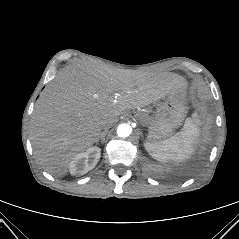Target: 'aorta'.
Segmentation results:
<instances>
[{
  "mask_svg": "<svg viewBox=\"0 0 239 239\" xmlns=\"http://www.w3.org/2000/svg\"><path fill=\"white\" fill-rule=\"evenodd\" d=\"M132 133V128L129 124H120L117 127V135L121 138H126Z\"/></svg>",
  "mask_w": 239,
  "mask_h": 239,
  "instance_id": "762f6f07",
  "label": "aorta"
}]
</instances>
